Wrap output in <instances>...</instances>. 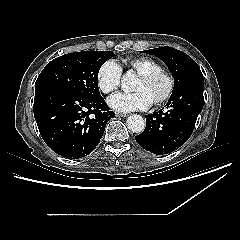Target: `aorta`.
<instances>
[{
	"instance_id": "aorta-1",
	"label": "aorta",
	"mask_w": 240,
	"mask_h": 240,
	"mask_svg": "<svg viewBox=\"0 0 240 240\" xmlns=\"http://www.w3.org/2000/svg\"><path fill=\"white\" fill-rule=\"evenodd\" d=\"M135 75L127 72L121 80V86L124 91H130L134 85ZM127 128L133 133H141L145 129V120L138 114L130 115L126 120Z\"/></svg>"
}]
</instances>
